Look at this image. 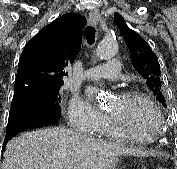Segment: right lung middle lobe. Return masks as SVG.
Here are the masks:
<instances>
[{"instance_id":"1","label":"right lung middle lobe","mask_w":177,"mask_h":169,"mask_svg":"<svg viewBox=\"0 0 177 169\" xmlns=\"http://www.w3.org/2000/svg\"><path fill=\"white\" fill-rule=\"evenodd\" d=\"M60 87L61 85L46 86L40 84L24 86L19 92L14 93L11 109L45 110L60 116Z\"/></svg>"}]
</instances>
